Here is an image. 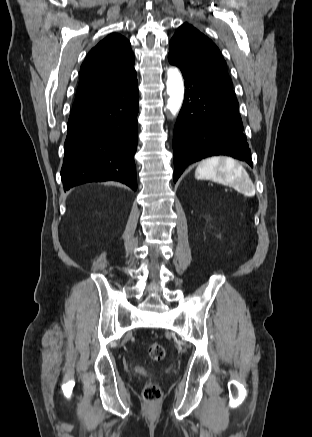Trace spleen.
<instances>
[{
    "mask_svg": "<svg viewBox=\"0 0 312 437\" xmlns=\"http://www.w3.org/2000/svg\"><path fill=\"white\" fill-rule=\"evenodd\" d=\"M195 177L232 186L246 196L255 194V186L246 170L230 157H212L202 161L196 168Z\"/></svg>",
    "mask_w": 312,
    "mask_h": 437,
    "instance_id": "spleen-1",
    "label": "spleen"
}]
</instances>
